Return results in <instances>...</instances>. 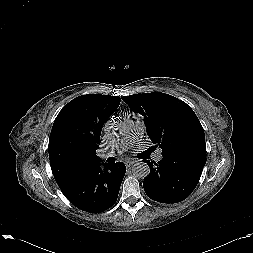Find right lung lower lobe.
Listing matches in <instances>:
<instances>
[{"instance_id":"98d812e1","label":"right lung lower lobe","mask_w":253,"mask_h":253,"mask_svg":"<svg viewBox=\"0 0 253 253\" xmlns=\"http://www.w3.org/2000/svg\"><path fill=\"white\" fill-rule=\"evenodd\" d=\"M126 172L123 163H97L58 185L65 197L77 208L100 213L110 208L117 200Z\"/></svg>"}]
</instances>
